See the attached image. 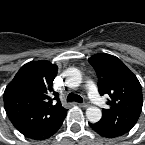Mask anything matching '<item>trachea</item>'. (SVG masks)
Returning a JSON list of instances; mask_svg holds the SVG:
<instances>
[{"mask_svg": "<svg viewBox=\"0 0 145 145\" xmlns=\"http://www.w3.org/2000/svg\"><path fill=\"white\" fill-rule=\"evenodd\" d=\"M78 102V103H82L83 102V99L81 96L77 95V94H73V93H70L68 96H67V102Z\"/></svg>", "mask_w": 145, "mask_h": 145, "instance_id": "3493384b", "label": "trachea"}]
</instances>
